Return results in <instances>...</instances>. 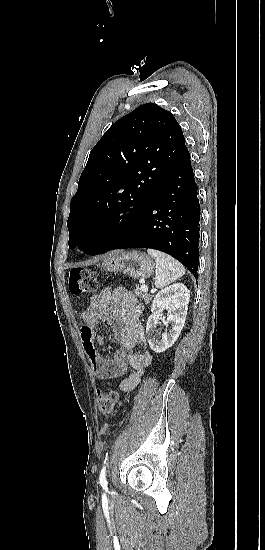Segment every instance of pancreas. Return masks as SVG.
I'll return each mask as SVG.
<instances>
[{
    "instance_id": "1",
    "label": "pancreas",
    "mask_w": 265,
    "mask_h": 550,
    "mask_svg": "<svg viewBox=\"0 0 265 550\" xmlns=\"http://www.w3.org/2000/svg\"><path fill=\"white\" fill-rule=\"evenodd\" d=\"M134 292L144 301L145 304H148L152 299V295L143 292L138 286L135 288Z\"/></svg>"
}]
</instances>
